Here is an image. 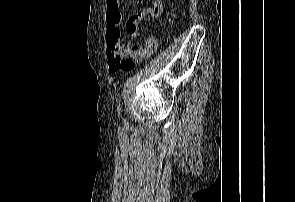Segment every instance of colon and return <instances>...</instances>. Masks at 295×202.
<instances>
[{
  "mask_svg": "<svg viewBox=\"0 0 295 202\" xmlns=\"http://www.w3.org/2000/svg\"><path fill=\"white\" fill-rule=\"evenodd\" d=\"M107 32L108 47H120L125 43L124 35L133 36L136 31V25L129 19L124 27H119L118 24H110Z\"/></svg>",
  "mask_w": 295,
  "mask_h": 202,
  "instance_id": "colon-1",
  "label": "colon"
}]
</instances>
